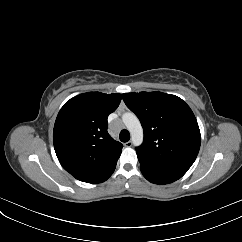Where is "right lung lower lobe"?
I'll return each instance as SVG.
<instances>
[{
	"instance_id": "right-lung-lower-lobe-1",
	"label": "right lung lower lobe",
	"mask_w": 242,
	"mask_h": 242,
	"mask_svg": "<svg viewBox=\"0 0 242 242\" xmlns=\"http://www.w3.org/2000/svg\"><path fill=\"white\" fill-rule=\"evenodd\" d=\"M116 163H117V161L114 162L112 165H110L107 169H105L95 180H93L89 183H101V182H104L105 180H107L114 172Z\"/></svg>"
}]
</instances>
